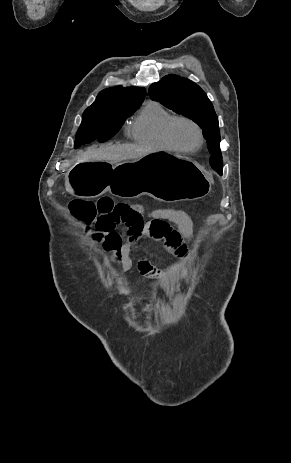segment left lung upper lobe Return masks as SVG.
I'll return each mask as SVG.
<instances>
[{
    "label": "left lung upper lobe",
    "instance_id": "left-lung-upper-lobe-1",
    "mask_svg": "<svg viewBox=\"0 0 291 463\" xmlns=\"http://www.w3.org/2000/svg\"><path fill=\"white\" fill-rule=\"evenodd\" d=\"M148 95L176 113L192 119L202 128L213 154L211 166L218 173L222 171L218 118L205 92L194 82L171 74L153 83Z\"/></svg>",
    "mask_w": 291,
    "mask_h": 463
}]
</instances>
